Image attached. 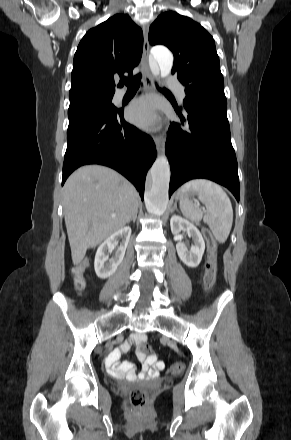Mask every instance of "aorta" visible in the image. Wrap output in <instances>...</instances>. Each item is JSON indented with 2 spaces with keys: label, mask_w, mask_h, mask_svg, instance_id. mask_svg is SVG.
<instances>
[{
  "label": "aorta",
  "mask_w": 291,
  "mask_h": 440,
  "mask_svg": "<svg viewBox=\"0 0 291 440\" xmlns=\"http://www.w3.org/2000/svg\"><path fill=\"white\" fill-rule=\"evenodd\" d=\"M152 55L159 66L162 77L170 74L173 66V55L165 47H155ZM170 182V165L165 155L158 157L149 173V181L145 191V205L149 213L162 215L168 205V189Z\"/></svg>",
  "instance_id": "obj_1"
}]
</instances>
